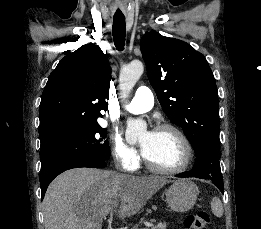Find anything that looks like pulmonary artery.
I'll list each match as a JSON object with an SVG mask.
<instances>
[{
    "instance_id": "e3ab8cb5",
    "label": "pulmonary artery",
    "mask_w": 261,
    "mask_h": 229,
    "mask_svg": "<svg viewBox=\"0 0 261 229\" xmlns=\"http://www.w3.org/2000/svg\"><path fill=\"white\" fill-rule=\"evenodd\" d=\"M154 106V95L148 87H139L134 100L127 106V111L132 114H141L151 110Z\"/></svg>"
}]
</instances>
